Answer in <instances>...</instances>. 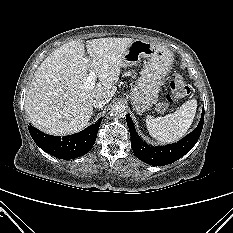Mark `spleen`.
<instances>
[{
	"instance_id": "3e777b00",
	"label": "spleen",
	"mask_w": 233,
	"mask_h": 233,
	"mask_svg": "<svg viewBox=\"0 0 233 233\" xmlns=\"http://www.w3.org/2000/svg\"><path fill=\"white\" fill-rule=\"evenodd\" d=\"M197 109L196 99L186 101L180 109L164 117H146L149 134L163 143H172L183 137L194 120Z\"/></svg>"
}]
</instances>
